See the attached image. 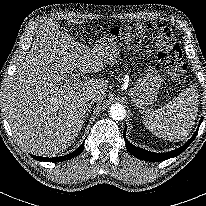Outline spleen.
<instances>
[{"mask_svg": "<svg viewBox=\"0 0 206 206\" xmlns=\"http://www.w3.org/2000/svg\"><path fill=\"white\" fill-rule=\"evenodd\" d=\"M198 97L195 85L184 89L164 107L144 114L146 128L161 138L185 140L195 124Z\"/></svg>", "mask_w": 206, "mask_h": 206, "instance_id": "spleen-1", "label": "spleen"}]
</instances>
